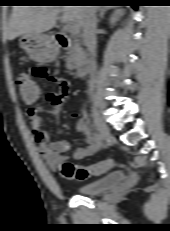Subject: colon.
<instances>
[{"mask_svg":"<svg viewBox=\"0 0 170 231\" xmlns=\"http://www.w3.org/2000/svg\"><path fill=\"white\" fill-rule=\"evenodd\" d=\"M16 86L21 99L27 104H34L40 95V89L35 79L21 73L16 79ZM114 166L112 159H105L91 166H82L71 162H64L59 167V174L68 180L83 181L91 176L99 175L110 170Z\"/></svg>","mask_w":170,"mask_h":231,"instance_id":"1","label":"colon"}]
</instances>
